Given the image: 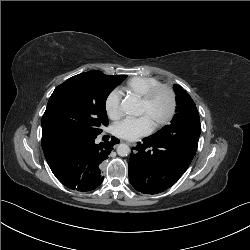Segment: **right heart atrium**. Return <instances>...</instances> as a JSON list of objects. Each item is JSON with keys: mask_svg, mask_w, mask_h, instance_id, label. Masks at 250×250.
<instances>
[{"mask_svg": "<svg viewBox=\"0 0 250 250\" xmlns=\"http://www.w3.org/2000/svg\"><path fill=\"white\" fill-rule=\"evenodd\" d=\"M121 94L118 90H112L108 93L104 101V109L107 116L112 119H118L121 116Z\"/></svg>", "mask_w": 250, "mask_h": 250, "instance_id": "obj_1", "label": "right heart atrium"}]
</instances>
